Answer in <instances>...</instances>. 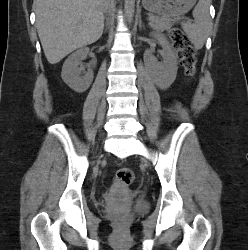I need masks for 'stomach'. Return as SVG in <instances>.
I'll list each match as a JSON object with an SVG mask.
<instances>
[{
	"instance_id": "1",
	"label": "stomach",
	"mask_w": 248,
	"mask_h": 250,
	"mask_svg": "<svg viewBox=\"0 0 248 250\" xmlns=\"http://www.w3.org/2000/svg\"><path fill=\"white\" fill-rule=\"evenodd\" d=\"M196 0H142L143 7L166 17H179L187 13Z\"/></svg>"
}]
</instances>
